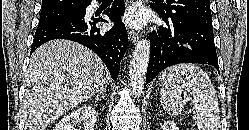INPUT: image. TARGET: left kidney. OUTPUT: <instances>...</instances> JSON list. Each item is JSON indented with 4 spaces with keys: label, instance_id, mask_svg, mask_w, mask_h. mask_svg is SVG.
<instances>
[{
    "label": "left kidney",
    "instance_id": "left-kidney-1",
    "mask_svg": "<svg viewBox=\"0 0 249 130\" xmlns=\"http://www.w3.org/2000/svg\"><path fill=\"white\" fill-rule=\"evenodd\" d=\"M162 130H179L173 121L167 120L162 125Z\"/></svg>",
    "mask_w": 249,
    "mask_h": 130
}]
</instances>
